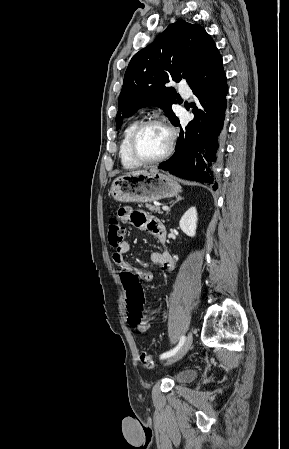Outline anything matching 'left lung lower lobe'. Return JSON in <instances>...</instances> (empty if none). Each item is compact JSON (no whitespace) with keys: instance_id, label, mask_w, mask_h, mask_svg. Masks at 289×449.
Listing matches in <instances>:
<instances>
[{"instance_id":"obj_1","label":"left lung lower lobe","mask_w":289,"mask_h":449,"mask_svg":"<svg viewBox=\"0 0 289 449\" xmlns=\"http://www.w3.org/2000/svg\"><path fill=\"white\" fill-rule=\"evenodd\" d=\"M189 86L199 101L198 107L193 106L194 119L181 128L175 153L158 168L217 189L215 164L225 144L228 93L217 48L203 62L198 76ZM174 125L181 127L179 119Z\"/></svg>"}]
</instances>
